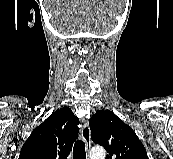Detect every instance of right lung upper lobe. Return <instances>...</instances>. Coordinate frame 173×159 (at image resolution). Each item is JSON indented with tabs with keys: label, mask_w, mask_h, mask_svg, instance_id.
<instances>
[{
	"label": "right lung upper lobe",
	"mask_w": 173,
	"mask_h": 159,
	"mask_svg": "<svg viewBox=\"0 0 173 159\" xmlns=\"http://www.w3.org/2000/svg\"><path fill=\"white\" fill-rule=\"evenodd\" d=\"M78 123L69 107L57 109L32 131L19 159H66L78 137Z\"/></svg>",
	"instance_id": "1"
}]
</instances>
